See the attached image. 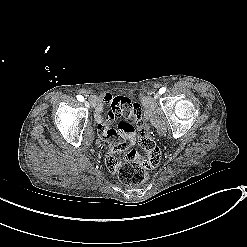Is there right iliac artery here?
<instances>
[{"label": "right iliac artery", "instance_id": "82829eb1", "mask_svg": "<svg viewBox=\"0 0 247 247\" xmlns=\"http://www.w3.org/2000/svg\"><path fill=\"white\" fill-rule=\"evenodd\" d=\"M77 99H78L79 101H84V97H83L82 95H77Z\"/></svg>", "mask_w": 247, "mask_h": 247}]
</instances>
